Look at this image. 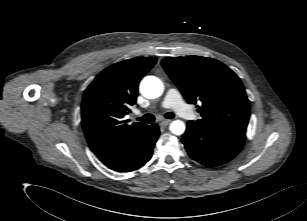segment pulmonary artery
Segmentation results:
<instances>
[{"label": "pulmonary artery", "mask_w": 307, "mask_h": 221, "mask_svg": "<svg viewBox=\"0 0 307 221\" xmlns=\"http://www.w3.org/2000/svg\"><path fill=\"white\" fill-rule=\"evenodd\" d=\"M160 108L172 109L180 116H185L188 113V107L182 101L180 92L175 88H170L166 92Z\"/></svg>", "instance_id": "e3ab8cb5"}]
</instances>
